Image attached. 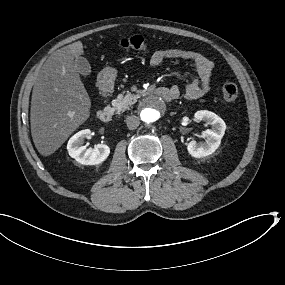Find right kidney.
Segmentation results:
<instances>
[{
	"instance_id": "obj_1",
	"label": "right kidney",
	"mask_w": 285,
	"mask_h": 285,
	"mask_svg": "<svg viewBox=\"0 0 285 285\" xmlns=\"http://www.w3.org/2000/svg\"><path fill=\"white\" fill-rule=\"evenodd\" d=\"M91 134L90 129L82 130L70 138L67 150L69 156L82 165H98L103 163L110 155L107 145H95L94 147L82 146L85 137Z\"/></svg>"
}]
</instances>
